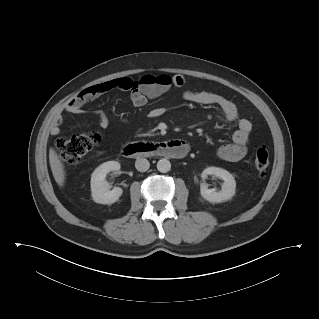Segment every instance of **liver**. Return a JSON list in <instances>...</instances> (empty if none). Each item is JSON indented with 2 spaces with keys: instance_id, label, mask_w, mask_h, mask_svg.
I'll return each instance as SVG.
<instances>
[{
  "instance_id": "liver-1",
  "label": "liver",
  "mask_w": 319,
  "mask_h": 319,
  "mask_svg": "<svg viewBox=\"0 0 319 319\" xmlns=\"http://www.w3.org/2000/svg\"><path fill=\"white\" fill-rule=\"evenodd\" d=\"M49 163L52 170L53 177L56 183L63 187L65 183V170L62 161L60 160L57 152L50 148L49 150Z\"/></svg>"
}]
</instances>
